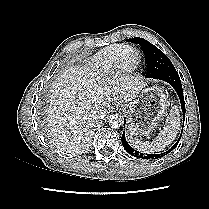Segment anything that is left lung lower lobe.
<instances>
[{
    "mask_svg": "<svg viewBox=\"0 0 209 209\" xmlns=\"http://www.w3.org/2000/svg\"><path fill=\"white\" fill-rule=\"evenodd\" d=\"M153 78L165 81V82L169 83L175 89V91L177 92V94L179 96V99H180L181 108H182V112H183V123H184V120H185V102H184V96H183V90H182L180 77H179L178 72L176 71V69L169 70V71H164L162 73H159V74L155 75ZM181 135H182V133H181ZM181 135H180V137H181ZM180 137H179L178 141L168 151L160 153V154H143V153H140V152L134 150L128 144V142L126 141L124 132H123L121 141H122V144H123L125 150L129 154H131L132 156H136V157H139V158H142V159H158V158H161V157L167 155L168 153H170L177 146V144L179 143Z\"/></svg>",
    "mask_w": 209,
    "mask_h": 209,
    "instance_id": "obj_1",
    "label": "left lung lower lobe"
}]
</instances>
